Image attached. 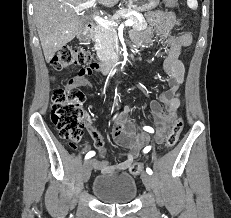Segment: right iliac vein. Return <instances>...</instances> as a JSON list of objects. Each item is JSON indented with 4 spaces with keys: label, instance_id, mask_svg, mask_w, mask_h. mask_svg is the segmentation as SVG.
Here are the masks:
<instances>
[{
    "label": "right iliac vein",
    "instance_id": "1",
    "mask_svg": "<svg viewBox=\"0 0 231 218\" xmlns=\"http://www.w3.org/2000/svg\"><path fill=\"white\" fill-rule=\"evenodd\" d=\"M91 170H92V165H91V160H87L84 164H83V168H82V176H83V180L86 183L91 175Z\"/></svg>",
    "mask_w": 231,
    "mask_h": 218
}]
</instances>
